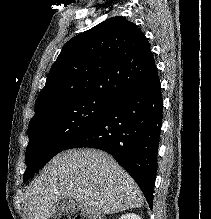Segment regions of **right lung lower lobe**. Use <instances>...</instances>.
<instances>
[{"instance_id": "1", "label": "right lung lower lobe", "mask_w": 211, "mask_h": 219, "mask_svg": "<svg viewBox=\"0 0 211 219\" xmlns=\"http://www.w3.org/2000/svg\"><path fill=\"white\" fill-rule=\"evenodd\" d=\"M162 112L156 71L145 84L113 101L66 149L90 147L111 154L137 182L152 209Z\"/></svg>"}]
</instances>
